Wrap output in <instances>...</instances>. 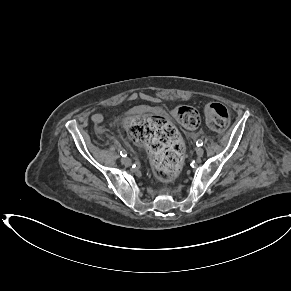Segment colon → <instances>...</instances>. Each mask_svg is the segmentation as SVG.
<instances>
[{
  "label": "colon",
  "instance_id": "5ec220e1",
  "mask_svg": "<svg viewBox=\"0 0 291 291\" xmlns=\"http://www.w3.org/2000/svg\"><path fill=\"white\" fill-rule=\"evenodd\" d=\"M203 114L206 123L215 130L228 126L229 113L222 104L205 105ZM173 117L188 129H195L200 123L199 113L187 105L175 107ZM126 129L136 143L150 152L158 180L170 182L178 177L183 164L184 144L168 120L157 115H138L127 120Z\"/></svg>",
  "mask_w": 291,
  "mask_h": 291
}]
</instances>
